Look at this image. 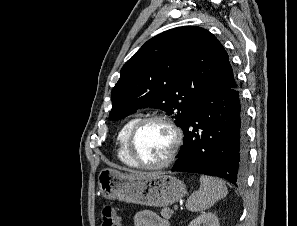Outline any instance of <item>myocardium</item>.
Masks as SVG:
<instances>
[{
	"instance_id": "obj_1",
	"label": "myocardium",
	"mask_w": 297,
	"mask_h": 226,
	"mask_svg": "<svg viewBox=\"0 0 297 226\" xmlns=\"http://www.w3.org/2000/svg\"><path fill=\"white\" fill-rule=\"evenodd\" d=\"M149 122H161L165 124L173 134V144L171 146V149L167 157L161 162L155 163V164H146L142 162L137 156L134 149V142L138 131L143 125ZM183 140H184L183 131L174 119L162 114H151V115H147L142 118H139L134 123L127 138V150L131 159L134 161L137 167L142 169H148V170H158V169H163L165 167H168L175 161L181 149V146L183 144Z\"/></svg>"
}]
</instances>
